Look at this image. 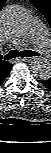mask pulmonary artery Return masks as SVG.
Segmentation results:
<instances>
[{
  "label": "pulmonary artery",
  "instance_id": "obj_1",
  "mask_svg": "<svg viewBox=\"0 0 51 153\" xmlns=\"http://www.w3.org/2000/svg\"><path fill=\"white\" fill-rule=\"evenodd\" d=\"M30 38L36 42L37 47L41 52L47 53L49 51L50 42L41 22H36L32 26L30 31Z\"/></svg>",
  "mask_w": 51,
  "mask_h": 153
}]
</instances>
